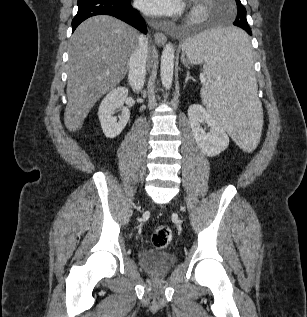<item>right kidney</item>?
<instances>
[{
	"instance_id": "obj_1",
	"label": "right kidney",
	"mask_w": 307,
	"mask_h": 317,
	"mask_svg": "<svg viewBox=\"0 0 307 317\" xmlns=\"http://www.w3.org/2000/svg\"><path fill=\"white\" fill-rule=\"evenodd\" d=\"M128 96V89L118 87L112 89L102 100L98 117L101 123L103 133L108 138L117 137L125 128L130 119V111L124 106V102ZM116 109L120 110V115L113 116Z\"/></svg>"
}]
</instances>
